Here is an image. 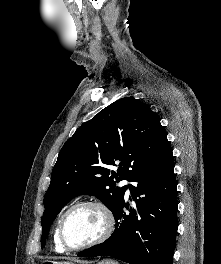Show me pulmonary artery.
<instances>
[{"mask_svg":"<svg viewBox=\"0 0 221 264\" xmlns=\"http://www.w3.org/2000/svg\"><path fill=\"white\" fill-rule=\"evenodd\" d=\"M129 181L127 179H124L121 184L125 185L127 187V194H130V190H129Z\"/></svg>","mask_w":221,"mask_h":264,"instance_id":"e3ab8cb5","label":"pulmonary artery"}]
</instances>
